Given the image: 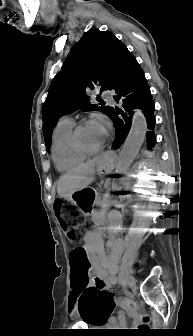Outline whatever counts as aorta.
I'll return each instance as SVG.
<instances>
[{"mask_svg":"<svg viewBox=\"0 0 193 336\" xmlns=\"http://www.w3.org/2000/svg\"><path fill=\"white\" fill-rule=\"evenodd\" d=\"M146 132V117L140 109H135L130 132L120 149L117 163L119 173H125L130 168L144 142Z\"/></svg>","mask_w":193,"mask_h":336,"instance_id":"762f6f07","label":"aorta"}]
</instances>
